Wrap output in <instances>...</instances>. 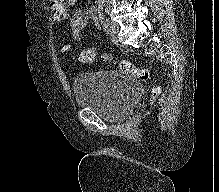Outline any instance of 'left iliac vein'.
<instances>
[{"label":"left iliac vein","instance_id":"left-iliac-vein-1","mask_svg":"<svg viewBox=\"0 0 219 192\" xmlns=\"http://www.w3.org/2000/svg\"><path fill=\"white\" fill-rule=\"evenodd\" d=\"M108 23V33L114 38V39H117V35H118V32H119V25L112 21V20H109L107 21Z\"/></svg>","mask_w":219,"mask_h":192}]
</instances>
